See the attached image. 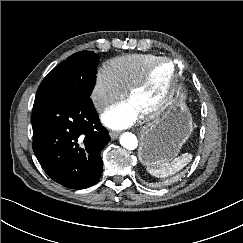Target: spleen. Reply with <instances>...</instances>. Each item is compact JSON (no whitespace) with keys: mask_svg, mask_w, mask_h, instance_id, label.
<instances>
[{"mask_svg":"<svg viewBox=\"0 0 243 243\" xmlns=\"http://www.w3.org/2000/svg\"><path fill=\"white\" fill-rule=\"evenodd\" d=\"M191 160L192 155L184 153L170 163L165 162L154 166H148L147 171L155 177L165 178L183 169Z\"/></svg>","mask_w":243,"mask_h":243,"instance_id":"obj_1","label":"spleen"}]
</instances>
